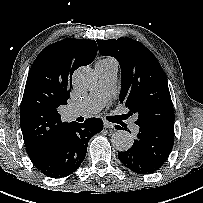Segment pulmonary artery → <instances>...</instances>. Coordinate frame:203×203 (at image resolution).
<instances>
[{
	"mask_svg": "<svg viewBox=\"0 0 203 203\" xmlns=\"http://www.w3.org/2000/svg\"><path fill=\"white\" fill-rule=\"evenodd\" d=\"M95 68L99 77L97 86L83 101L73 104L68 108L67 116L69 118L89 116L98 112L113 93L117 77V67L99 61L96 63ZM132 130L138 132L139 128L133 125Z\"/></svg>",
	"mask_w": 203,
	"mask_h": 203,
	"instance_id": "e3ab8cb5",
	"label": "pulmonary artery"
}]
</instances>
